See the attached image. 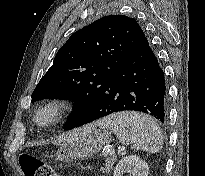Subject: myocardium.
<instances>
[{
	"label": "myocardium",
	"mask_w": 205,
	"mask_h": 176,
	"mask_svg": "<svg viewBox=\"0 0 205 176\" xmlns=\"http://www.w3.org/2000/svg\"><path fill=\"white\" fill-rule=\"evenodd\" d=\"M71 110V104L64 98L51 99L39 106L33 121L40 126H51L58 123Z\"/></svg>",
	"instance_id": "obj_1"
}]
</instances>
